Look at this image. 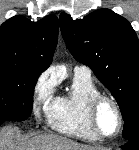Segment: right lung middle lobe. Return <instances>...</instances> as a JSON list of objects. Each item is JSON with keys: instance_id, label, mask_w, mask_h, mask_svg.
<instances>
[{"instance_id": "right-lung-middle-lobe-1", "label": "right lung middle lobe", "mask_w": 139, "mask_h": 150, "mask_svg": "<svg viewBox=\"0 0 139 150\" xmlns=\"http://www.w3.org/2000/svg\"><path fill=\"white\" fill-rule=\"evenodd\" d=\"M40 73L12 65H0V124L26 120L32 110L34 86Z\"/></svg>"}]
</instances>
